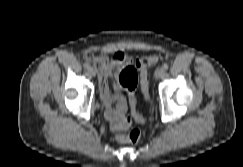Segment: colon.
I'll return each instance as SVG.
<instances>
[{
    "instance_id": "colon-1",
    "label": "colon",
    "mask_w": 243,
    "mask_h": 167,
    "mask_svg": "<svg viewBox=\"0 0 243 167\" xmlns=\"http://www.w3.org/2000/svg\"><path fill=\"white\" fill-rule=\"evenodd\" d=\"M159 61V56L154 54L146 57H141L136 60V68L127 66L122 69L119 74V82L127 91L131 106H135L136 98L135 91L140 79L141 91L146 98H149V77L148 68L155 65ZM138 121L142 122L144 118L137 115ZM113 130L117 132L116 139L121 143H136L141 137V132L137 127L131 126V120L124 117L119 123L114 125Z\"/></svg>"
}]
</instances>
